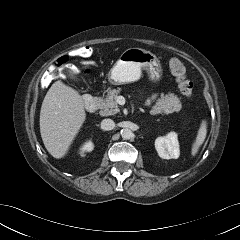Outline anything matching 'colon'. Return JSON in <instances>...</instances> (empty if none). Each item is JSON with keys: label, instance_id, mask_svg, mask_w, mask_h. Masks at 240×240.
<instances>
[{"label": "colon", "instance_id": "5ec220e1", "mask_svg": "<svg viewBox=\"0 0 240 240\" xmlns=\"http://www.w3.org/2000/svg\"><path fill=\"white\" fill-rule=\"evenodd\" d=\"M92 54V49L88 46H83L77 48L71 52L69 55H64L58 58L55 62L57 68H62L70 65L74 58H79L80 63L85 72L89 71L91 62L87 60ZM169 69L173 77L175 78L179 90L188 99L192 97L193 94V83L187 78L186 68L183 62L177 58H173L169 62Z\"/></svg>", "mask_w": 240, "mask_h": 240}]
</instances>
